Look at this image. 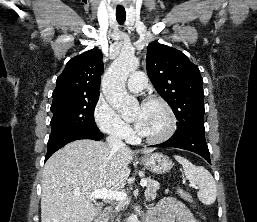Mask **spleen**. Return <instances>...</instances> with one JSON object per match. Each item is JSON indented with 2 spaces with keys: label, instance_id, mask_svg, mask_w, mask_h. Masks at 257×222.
<instances>
[{
  "label": "spleen",
  "instance_id": "spleen-1",
  "mask_svg": "<svg viewBox=\"0 0 257 222\" xmlns=\"http://www.w3.org/2000/svg\"><path fill=\"white\" fill-rule=\"evenodd\" d=\"M175 159L182 165L190 183L198 186L199 200L205 205L213 204L217 196V186L211 173L204 167L192 164L184 157L175 156Z\"/></svg>",
  "mask_w": 257,
  "mask_h": 222
}]
</instances>
